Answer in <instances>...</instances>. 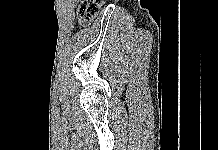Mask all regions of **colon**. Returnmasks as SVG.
Wrapping results in <instances>:
<instances>
[{
  "label": "colon",
  "instance_id": "5ec220e1",
  "mask_svg": "<svg viewBox=\"0 0 218 150\" xmlns=\"http://www.w3.org/2000/svg\"><path fill=\"white\" fill-rule=\"evenodd\" d=\"M103 0H82L78 4V17L82 24H90L98 15Z\"/></svg>",
  "mask_w": 218,
  "mask_h": 150
}]
</instances>
